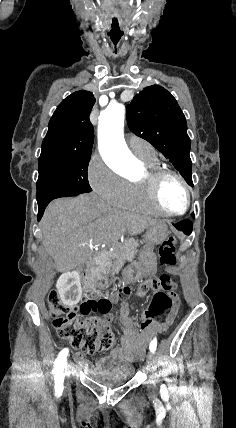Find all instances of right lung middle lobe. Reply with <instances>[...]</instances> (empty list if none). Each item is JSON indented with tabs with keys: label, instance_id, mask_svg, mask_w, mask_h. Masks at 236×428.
Listing matches in <instances>:
<instances>
[{
	"label": "right lung middle lobe",
	"instance_id": "obj_1",
	"mask_svg": "<svg viewBox=\"0 0 236 428\" xmlns=\"http://www.w3.org/2000/svg\"><path fill=\"white\" fill-rule=\"evenodd\" d=\"M91 155H40L36 184L37 202L45 203L59 197L91 192L87 179Z\"/></svg>",
	"mask_w": 236,
	"mask_h": 428
}]
</instances>
